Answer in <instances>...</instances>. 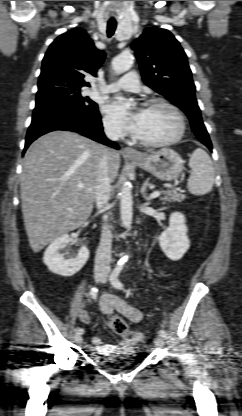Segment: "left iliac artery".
Returning a JSON list of instances; mask_svg holds the SVG:
<instances>
[{"label": "left iliac artery", "mask_w": 242, "mask_h": 416, "mask_svg": "<svg viewBox=\"0 0 242 416\" xmlns=\"http://www.w3.org/2000/svg\"><path fill=\"white\" fill-rule=\"evenodd\" d=\"M123 269V264H119L115 267V269L113 270L111 276H110V281L111 284L116 288V289H122L123 288V284L120 282V280L118 279V276L121 272V270ZM159 335H161L162 337H166V332L161 329L159 331Z\"/></svg>", "instance_id": "44dca946"}]
</instances>
